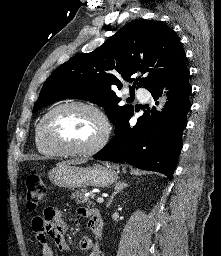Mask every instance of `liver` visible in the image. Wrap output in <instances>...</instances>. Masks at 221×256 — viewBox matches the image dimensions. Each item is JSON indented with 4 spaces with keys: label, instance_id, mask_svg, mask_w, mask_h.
Segmentation results:
<instances>
[{
    "label": "liver",
    "instance_id": "1",
    "mask_svg": "<svg viewBox=\"0 0 221 256\" xmlns=\"http://www.w3.org/2000/svg\"><path fill=\"white\" fill-rule=\"evenodd\" d=\"M84 162H85L84 160L75 159V160H68V161L61 162V163H59L58 165H60V164H72V165H76V164H82V163H84Z\"/></svg>",
    "mask_w": 221,
    "mask_h": 256
}]
</instances>
